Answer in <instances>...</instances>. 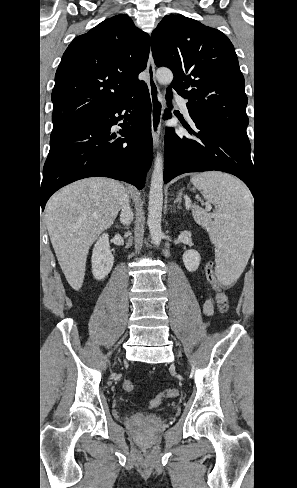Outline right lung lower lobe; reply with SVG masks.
<instances>
[{"label":"right lung lower lobe","mask_w":297,"mask_h":488,"mask_svg":"<svg viewBox=\"0 0 297 488\" xmlns=\"http://www.w3.org/2000/svg\"><path fill=\"white\" fill-rule=\"evenodd\" d=\"M122 111L125 115L117 117ZM123 118L121 129L112 132ZM152 150L151 100L143 82L110 109L51 134L41 183L42 211L54 192L87 177H110L141 189Z\"/></svg>","instance_id":"obj_1"}]
</instances>
